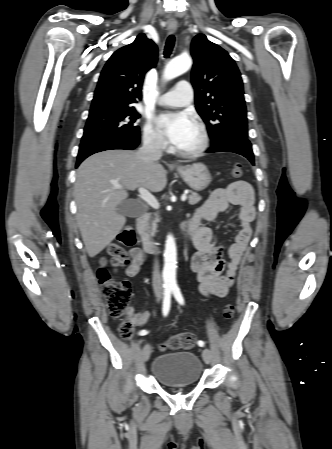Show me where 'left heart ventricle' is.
<instances>
[{"label":"left heart ventricle","instance_id":"left-heart-ventricle-1","mask_svg":"<svg viewBox=\"0 0 332 449\" xmlns=\"http://www.w3.org/2000/svg\"><path fill=\"white\" fill-rule=\"evenodd\" d=\"M198 141H199V133L195 127L179 148L191 149L197 145Z\"/></svg>","mask_w":332,"mask_h":449}]
</instances>
